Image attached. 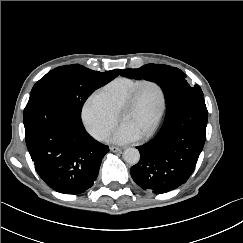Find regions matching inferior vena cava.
I'll return each mask as SVG.
<instances>
[{"instance_id":"obj_1","label":"inferior vena cava","mask_w":243,"mask_h":243,"mask_svg":"<svg viewBox=\"0 0 243 243\" xmlns=\"http://www.w3.org/2000/svg\"><path fill=\"white\" fill-rule=\"evenodd\" d=\"M93 137H95L98 140H102L108 136V133L105 130L102 129H94L92 131Z\"/></svg>"}]
</instances>
